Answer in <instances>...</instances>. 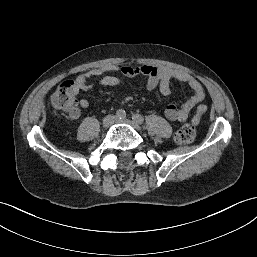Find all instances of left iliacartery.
I'll return each instance as SVG.
<instances>
[{"label":"left iliac artery","instance_id":"1","mask_svg":"<svg viewBox=\"0 0 257 257\" xmlns=\"http://www.w3.org/2000/svg\"><path fill=\"white\" fill-rule=\"evenodd\" d=\"M132 119L139 124L144 122V118L140 114H133Z\"/></svg>","mask_w":257,"mask_h":257}]
</instances>
